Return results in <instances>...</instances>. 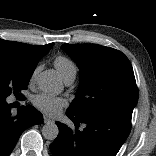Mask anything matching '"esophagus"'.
<instances>
[{"instance_id": "1", "label": "esophagus", "mask_w": 156, "mask_h": 156, "mask_svg": "<svg viewBox=\"0 0 156 156\" xmlns=\"http://www.w3.org/2000/svg\"><path fill=\"white\" fill-rule=\"evenodd\" d=\"M43 121H44V123H46V124L53 122V120L50 119V118H49L48 116H46V115L43 116Z\"/></svg>"}]
</instances>
